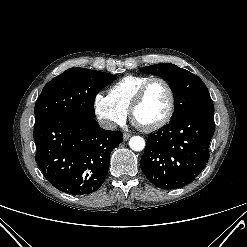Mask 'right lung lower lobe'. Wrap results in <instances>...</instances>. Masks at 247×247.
Returning <instances> with one entry per match:
<instances>
[{"label": "right lung lower lobe", "mask_w": 247, "mask_h": 247, "mask_svg": "<svg viewBox=\"0 0 247 247\" xmlns=\"http://www.w3.org/2000/svg\"><path fill=\"white\" fill-rule=\"evenodd\" d=\"M36 162L57 189L85 195L103 184L111 151L122 133L102 129L94 118L56 115L35 122Z\"/></svg>", "instance_id": "1"}]
</instances>
